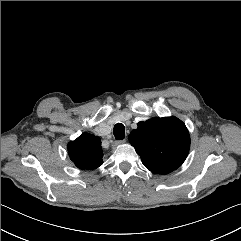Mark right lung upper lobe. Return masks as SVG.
I'll list each match as a JSON object with an SVG mask.
<instances>
[{
    "label": "right lung upper lobe",
    "instance_id": "cb5924a9",
    "mask_svg": "<svg viewBox=\"0 0 241 241\" xmlns=\"http://www.w3.org/2000/svg\"><path fill=\"white\" fill-rule=\"evenodd\" d=\"M68 154L80 169L93 170L103 163L101 139L89 133H83L68 144Z\"/></svg>",
    "mask_w": 241,
    "mask_h": 241
}]
</instances>
